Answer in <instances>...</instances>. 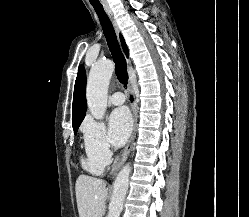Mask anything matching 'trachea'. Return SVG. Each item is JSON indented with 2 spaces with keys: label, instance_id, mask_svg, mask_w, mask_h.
I'll return each instance as SVG.
<instances>
[{
  "label": "trachea",
  "instance_id": "trachea-1",
  "mask_svg": "<svg viewBox=\"0 0 249 217\" xmlns=\"http://www.w3.org/2000/svg\"><path fill=\"white\" fill-rule=\"evenodd\" d=\"M93 8L99 17L108 47L113 56L116 76L120 83L126 85L128 81L126 60L120 49L112 23L104 11L103 6L93 5Z\"/></svg>",
  "mask_w": 249,
  "mask_h": 217
}]
</instances>
